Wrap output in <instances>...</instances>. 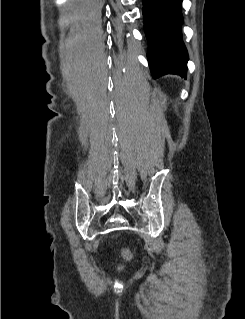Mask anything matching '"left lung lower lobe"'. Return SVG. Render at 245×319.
<instances>
[{
  "label": "left lung lower lobe",
  "mask_w": 245,
  "mask_h": 319,
  "mask_svg": "<svg viewBox=\"0 0 245 319\" xmlns=\"http://www.w3.org/2000/svg\"><path fill=\"white\" fill-rule=\"evenodd\" d=\"M182 0H143L148 62L153 77L186 75L188 55L182 41Z\"/></svg>",
  "instance_id": "left-lung-lower-lobe-1"
}]
</instances>
